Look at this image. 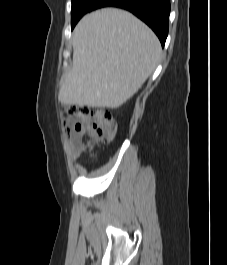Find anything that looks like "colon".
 Masks as SVG:
<instances>
[{"mask_svg":"<svg viewBox=\"0 0 227 265\" xmlns=\"http://www.w3.org/2000/svg\"><path fill=\"white\" fill-rule=\"evenodd\" d=\"M68 112L74 119V131L79 133L77 142L83 149L93 148L97 143H108L115 137L117 125L108 111L87 106H73ZM66 128L70 133V122H66Z\"/></svg>","mask_w":227,"mask_h":265,"instance_id":"1","label":"colon"}]
</instances>
